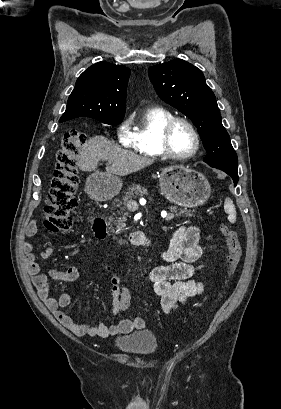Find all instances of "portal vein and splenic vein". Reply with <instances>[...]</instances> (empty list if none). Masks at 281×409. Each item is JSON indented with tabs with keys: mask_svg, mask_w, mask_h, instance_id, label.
Returning a JSON list of instances; mask_svg holds the SVG:
<instances>
[{
	"mask_svg": "<svg viewBox=\"0 0 281 409\" xmlns=\"http://www.w3.org/2000/svg\"><path fill=\"white\" fill-rule=\"evenodd\" d=\"M138 202L136 200H131L129 202V209L133 212L136 213L138 211ZM176 216L175 212H169L167 215L163 216L164 220L170 221L171 219H173V217Z\"/></svg>",
	"mask_w": 281,
	"mask_h": 409,
	"instance_id": "18ae733b",
	"label": "portal vein and splenic vein"
}]
</instances>
